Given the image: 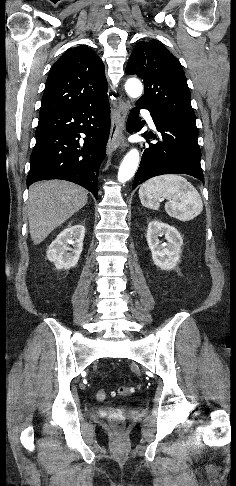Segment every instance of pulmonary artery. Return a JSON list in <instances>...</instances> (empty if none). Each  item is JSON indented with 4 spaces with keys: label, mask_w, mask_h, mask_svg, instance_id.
I'll use <instances>...</instances> for the list:
<instances>
[{
    "label": "pulmonary artery",
    "mask_w": 236,
    "mask_h": 486,
    "mask_svg": "<svg viewBox=\"0 0 236 486\" xmlns=\"http://www.w3.org/2000/svg\"><path fill=\"white\" fill-rule=\"evenodd\" d=\"M142 113L143 115L145 116L148 124L152 127V128H155V124H154V121L150 115V113L147 111V110H142Z\"/></svg>",
    "instance_id": "1"
}]
</instances>
